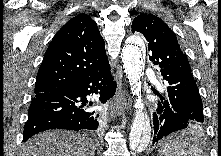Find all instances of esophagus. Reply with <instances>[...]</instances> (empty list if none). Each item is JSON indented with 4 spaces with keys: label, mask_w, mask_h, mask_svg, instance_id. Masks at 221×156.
<instances>
[{
    "label": "esophagus",
    "mask_w": 221,
    "mask_h": 156,
    "mask_svg": "<svg viewBox=\"0 0 221 156\" xmlns=\"http://www.w3.org/2000/svg\"><path fill=\"white\" fill-rule=\"evenodd\" d=\"M129 105V100L127 99V93L125 90L121 94H118L114 103V113L120 115L123 110H126Z\"/></svg>",
    "instance_id": "esophagus-1"
}]
</instances>
